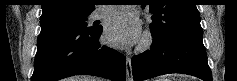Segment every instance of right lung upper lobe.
<instances>
[{"label": "right lung upper lobe", "mask_w": 237, "mask_h": 81, "mask_svg": "<svg viewBox=\"0 0 237 81\" xmlns=\"http://www.w3.org/2000/svg\"><path fill=\"white\" fill-rule=\"evenodd\" d=\"M40 20L90 15L95 10L91 0H43Z\"/></svg>", "instance_id": "1"}]
</instances>
